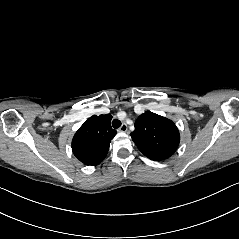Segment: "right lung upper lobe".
Returning <instances> with one entry per match:
<instances>
[{"mask_svg": "<svg viewBox=\"0 0 239 239\" xmlns=\"http://www.w3.org/2000/svg\"><path fill=\"white\" fill-rule=\"evenodd\" d=\"M110 114L88 118L72 140L74 155L85 165L100 164L108 153L111 140L117 131L112 129Z\"/></svg>", "mask_w": 239, "mask_h": 239, "instance_id": "1", "label": "right lung upper lobe"}]
</instances>
